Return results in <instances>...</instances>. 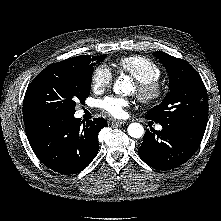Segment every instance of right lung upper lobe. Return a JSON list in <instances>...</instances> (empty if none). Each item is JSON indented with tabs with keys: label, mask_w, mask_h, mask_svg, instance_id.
Listing matches in <instances>:
<instances>
[{
	"label": "right lung upper lobe",
	"mask_w": 221,
	"mask_h": 221,
	"mask_svg": "<svg viewBox=\"0 0 221 221\" xmlns=\"http://www.w3.org/2000/svg\"><path fill=\"white\" fill-rule=\"evenodd\" d=\"M90 56L89 55H82L73 58L66 59L61 61L63 64L72 66V67H83L87 64Z\"/></svg>",
	"instance_id": "obj_1"
}]
</instances>
